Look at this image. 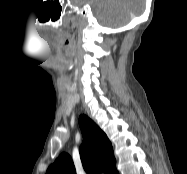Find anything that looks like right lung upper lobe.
<instances>
[{
	"label": "right lung upper lobe",
	"instance_id": "obj_1",
	"mask_svg": "<svg viewBox=\"0 0 187 174\" xmlns=\"http://www.w3.org/2000/svg\"><path fill=\"white\" fill-rule=\"evenodd\" d=\"M83 143L80 157L85 171L91 173L118 174L112 144L106 134L92 121L81 128ZM46 174H76L72 159L68 154H61L49 166Z\"/></svg>",
	"mask_w": 187,
	"mask_h": 174
}]
</instances>
